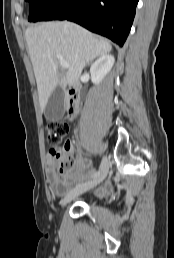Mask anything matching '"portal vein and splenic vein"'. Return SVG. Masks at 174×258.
<instances>
[{
  "instance_id": "1",
  "label": "portal vein and splenic vein",
  "mask_w": 174,
  "mask_h": 258,
  "mask_svg": "<svg viewBox=\"0 0 174 258\" xmlns=\"http://www.w3.org/2000/svg\"><path fill=\"white\" fill-rule=\"evenodd\" d=\"M57 59L60 61L62 68H64V69L69 68V64L63 59V57L61 55H57Z\"/></svg>"
}]
</instances>
